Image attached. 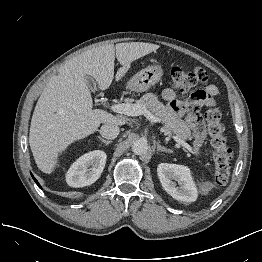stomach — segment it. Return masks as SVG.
Here are the masks:
<instances>
[{"instance_id": "obj_1", "label": "stomach", "mask_w": 262, "mask_h": 262, "mask_svg": "<svg viewBox=\"0 0 262 262\" xmlns=\"http://www.w3.org/2000/svg\"><path fill=\"white\" fill-rule=\"evenodd\" d=\"M163 69L159 65L148 66L133 75L127 82L131 91L144 92L161 80Z\"/></svg>"}]
</instances>
